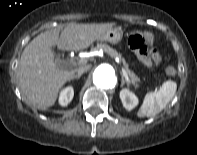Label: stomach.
I'll return each mask as SVG.
<instances>
[{
  "instance_id": "stomach-1",
  "label": "stomach",
  "mask_w": 197,
  "mask_h": 155,
  "mask_svg": "<svg viewBox=\"0 0 197 155\" xmlns=\"http://www.w3.org/2000/svg\"><path fill=\"white\" fill-rule=\"evenodd\" d=\"M123 37V31L120 27H112L105 31L97 40L106 41L112 44H116L121 41Z\"/></svg>"
}]
</instances>
